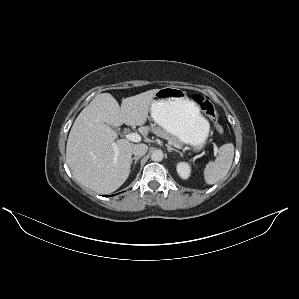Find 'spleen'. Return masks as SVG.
<instances>
[{
	"label": "spleen",
	"instance_id": "1",
	"mask_svg": "<svg viewBox=\"0 0 299 299\" xmlns=\"http://www.w3.org/2000/svg\"><path fill=\"white\" fill-rule=\"evenodd\" d=\"M234 145L227 143L222 145L218 151L215 161H210L204 169V179L207 184H215L224 178L233 162Z\"/></svg>",
	"mask_w": 299,
	"mask_h": 299
}]
</instances>
